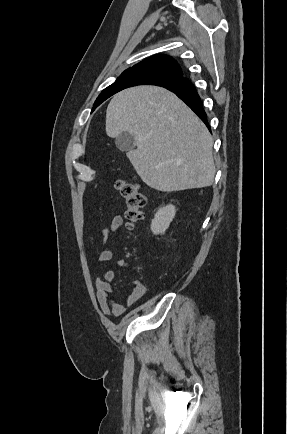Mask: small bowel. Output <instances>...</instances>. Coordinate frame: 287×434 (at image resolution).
<instances>
[{
    "instance_id": "1",
    "label": "small bowel",
    "mask_w": 287,
    "mask_h": 434,
    "mask_svg": "<svg viewBox=\"0 0 287 434\" xmlns=\"http://www.w3.org/2000/svg\"><path fill=\"white\" fill-rule=\"evenodd\" d=\"M123 225L121 216H114L108 225L102 228V249L98 255V262L104 263L110 260L112 256L108 240L114 235ZM117 266L125 267L124 260L117 261ZM116 280V272L106 270L102 276L95 279L96 298L101 311L106 316H120L126 312L127 307L138 302L146 292L145 286L141 282H136L132 293L127 297L124 304L117 303L111 294L114 291L112 283Z\"/></svg>"
}]
</instances>
